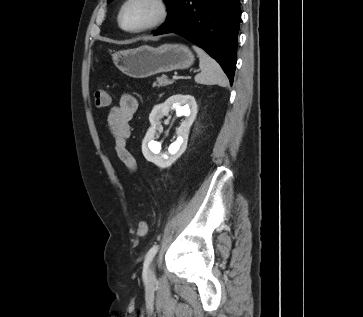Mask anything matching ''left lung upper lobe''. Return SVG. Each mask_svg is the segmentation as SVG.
I'll use <instances>...</instances> for the list:
<instances>
[{"instance_id":"1","label":"left lung upper lobe","mask_w":363,"mask_h":317,"mask_svg":"<svg viewBox=\"0 0 363 317\" xmlns=\"http://www.w3.org/2000/svg\"><path fill=\"white\" fill-rule=\"evenodd\" d=\"M112 0H108V2H110ZM166 2V4L169 6V4L171 3L172 0H164Z\"/></svg>"}]
</instances>
